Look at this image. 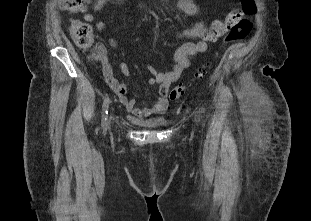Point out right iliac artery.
Segmentation results:
<instances>
[{"label":"right iliac artery","mask_w":311,"mask_h":221,"mask_svg":"<svg viewBox=\"0 0 311 221\" xmlns=\"http://www.w3.org/2000/svg\"><path fill=\"white\" fill-rule=\"evenodd\" d=\"M110 99L106 98L104 100L103 106H102V122L101 126L104 129L107 125V117H108V107H109Z\"/></svg>","instance_id":"right-iliac-artery-1"}]
</instances>
